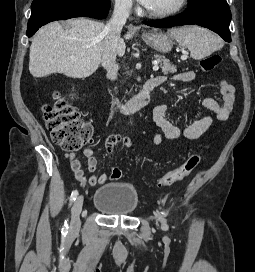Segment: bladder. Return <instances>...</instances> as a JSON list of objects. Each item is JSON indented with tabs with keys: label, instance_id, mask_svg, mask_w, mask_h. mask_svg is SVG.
I'll use <instances>...</instances> for the list:
<instances>
[{
	"label": "bladder",
	"instance_id": "obj_1",
	"mask_svg": "<svg viewBox=\"0 0 255 272\" xmlns=\"http://www.w3.org/2000/svg\"><path fill=\"white\" fill-rule=\"evenodd\" d=\"M93 206L108 216H129L139 206L136 187L128 182H110L100 186L93 197Z\"/></svg>",
	"mask_w": 255,
	"mask_h": 272
}]
</instances>
